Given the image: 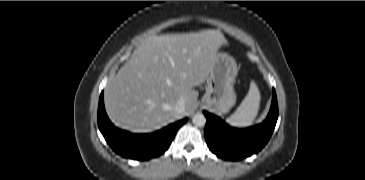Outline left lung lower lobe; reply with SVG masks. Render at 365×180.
I'll return each instance as SVG.
<instances>
[{"label":"left lung lower lobe","mask_w":365,"mask_h":180,"mask_svg":"<svg viewBox=\"0 0 365 180\" xmlns=\"http://www.w3.org/2000/svg\"><path fill=\"white\" fill-rule=\"evenodd\" d=\"M207 118L205 139L209 149L226 160H239L259 152L273 133L277 118L278 104L273 89L272 104L265 121L246 129L228 126L219 117L204 111Z\"/></svg>","instance_id":"0a47b994"}]
</instances>
